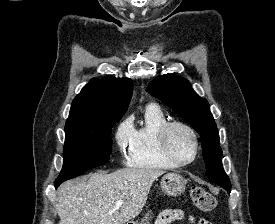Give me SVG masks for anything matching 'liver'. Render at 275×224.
I'll return each instance as SVG.
<instances>
[{
	"label": "liver",
	"instance_id": "obj_1",
	"mask_svg": "<svg viewBox=\"0 0 275 224\" xmlns=\"http://www.w3.org/2000/svg\"><path fill=\"white\" fill-rule=\"evenodd\" d=\"M162 174L158 169L124 168L65 182L58 189L59 224H125L142 211L153 182ZM119 200L123 204L117 208Z\"/></svg>",
	"mask_w": 275,
	"mask_h": 224
}]
</instances>
